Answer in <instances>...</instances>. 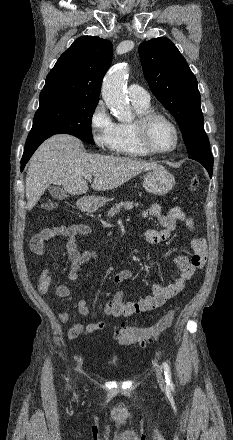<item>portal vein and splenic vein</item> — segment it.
Instances as JSON below:
<instances>
[{
	"mask_svg": "<svg viewBox=\"0 0 233 440\" xmlns=\"http://www.w3.org/2000/svg\"><path fill=\"white\" fill-rule=\"evenodd\" d=\"M84 178L87 180H91L92 179V175L91 174H85Z\"/></svg>",
	"mask_w": 233,
	"mask_h": 440,
	"instance_id": "portal-vein-and-splenic-vein-1",
	"label": "portal vein and splenic vein"
}]
</instances>
